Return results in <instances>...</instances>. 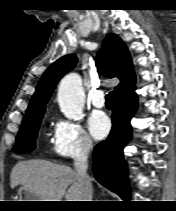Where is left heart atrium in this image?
<instances>
[{
	"mask_svg": "<svg viewBox=\"0 0 176 211\" xmlns=\"http://www.w3.org/2000/svg\"><path fill=\"white\" fill-rule=\"evenodd\" d=\"M88 128L91 135L95 139L100 140L109 133L111 123L106 114L96 111L92 113L88 119Z\"/></svg>",
	"mask_w": 176,
	"mask_h": 211,
	"instance_id": "left-heart-atrium-1",
	"label": "left heart atrium"
}]
</instances>
